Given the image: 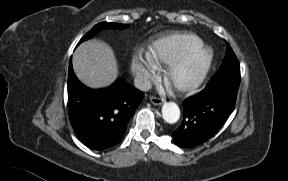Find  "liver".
<instances>
[{"label":"liver","instance_id":"liver-1","mask_svg":"<svg viewBox=\"0 0 288 181\" xmlns=\"http://www.w3.org/2000/svg\"><path fill=\"white\" fill-rule=\"evenodd\" d=\"M72 64L77 78L91 88L107 87L118 75L117 61L112 49L97 40L80 44L73 54Z\"/></svg>","mask_w":288,"mask_h":181}]
</instances>
